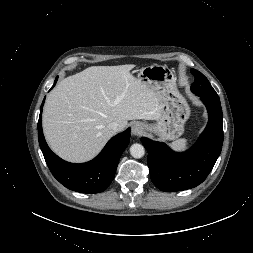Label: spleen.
<instances>
[{"instance_id":"3e777b00","label":"spleen","mask_w":253,"mask_h":253,"mask_svg":"<svg viewBox=\"0 0 253 253\" xmlns=\"http://www.w3.org/2000/svg\"><path fill=\"white\" fill-rule=\"evenodd\" d=\"M175 151H184L188 148V140L185 138L178 139L170 144Z\"/></svg>"}]
</instances>
